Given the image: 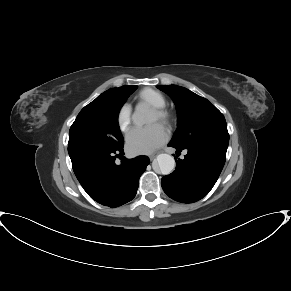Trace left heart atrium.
<instances>
[{"instance_id":"39dd6f15","label":"left heart atrium","mask_w":291,"mask_h":291,"mask_svg":"<svg viewBox=\"0 0 291 291\" xmlns=\"http://www.w3.org/2000/svg\"><path fill=\"white\" fill-rule=\"evenodd\" d=\"M168 139L160 124L133 129L126 138L127 151L132 155L149 154L162 146Z\"/></svg>"}]
</instances>
